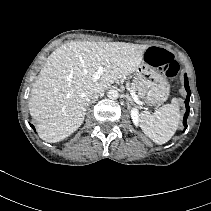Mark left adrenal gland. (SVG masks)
<instances>
[{"label":"left adrenal gland","mask_w":211,"mask_h":211,"mask_svg":"<svg viewBox=\"0 0 211 211\" xmlns=\"http://www.w3.org/2000/svg\"><path fill=\"white\" fill-rule=\"evenodd\" d=\"M125 97H126V99H127V104H128L127 107H128V109H130V103H131V104H135V103H134L132 97H131L129 94H126Z\"/></svg>","instance_id":"1"}]
</instances>
